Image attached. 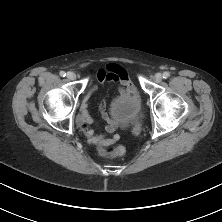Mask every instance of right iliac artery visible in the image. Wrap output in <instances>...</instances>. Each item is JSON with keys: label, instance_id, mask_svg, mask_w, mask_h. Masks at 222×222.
Here are the masks:
<instances>
[{"label": "right iliac artery", "instance_id": "1", "mask_svg": "<svg viewBox=\"0 0 222 222\" xmlns=\"http://www.w3.org/2000/svg\"><path fill=\"white\" fill-rule=\"evenodd\" d=\"M60 76H61V77H65V76H66V73H65L64 71H61V72H60Z\"/></svg>", "mask_w": 222, "mask_h": 222}]
</instances>
